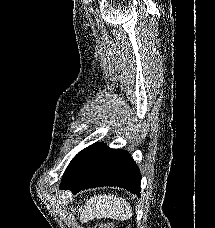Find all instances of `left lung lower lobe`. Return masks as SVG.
<instances>
[{
	"mask_svg": "<svg viewBox=\"0 0 215 228\" xmlns=\"http://www.w3.org/2000/svg\"><path fill=\"white\" fill-rule=\"evenodd\" d=\"M140 181V171L126 151L95 143L71 160L60 189L76 194L87 188L118 186L139 196Z\"/></svg>",
	"mask_w": 215,
	"mask_h": 228,
	"instance_id": "1",
	"label": "left lung lower lobe"
}]
</instances>
